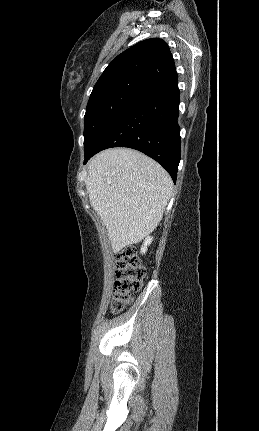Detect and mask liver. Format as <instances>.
<instances>
[{
    "mask_svg": "<svg viewBox=\"0 0 259 431\" xmlns=\"http://www.w3.org/2000/svg\"><path fill=\"white\" fill-rule=\"evenodd\" d=\"M172 187L169 174L156 161L132 149H107L90 160L87 193L115 253L157 227Z\"/></svg>",
    "mask_w": 259,
    "mask_h": 431,
    "instance_id": "liver-1",
    "label": "liver"
}]
</instances>
